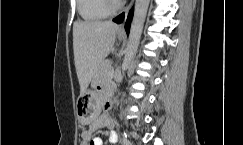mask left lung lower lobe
Wrapping results in <instances>:
<instances>
[{
    "label": "left lung lower lobe",
    "mask_w": 243,
    "mask_h": 145,
    "mask_svg": "<svg viewBox=\"0 0 243 145\" xmlns=\"http://www.w3.org/2000/svg\"><path fill=\"white\" fill-rule=\"evenodd\" d=\"M124 13L120 14L119 16H117L116 18L113 19L114 22L120 24L122 23L123 19H124ZM133 16V9L129 12L126 24H125V30L127 32V34H129V30H130V24H131V19Z\"/></svg>",
    "instance_id": "1"
}]
</instances>
